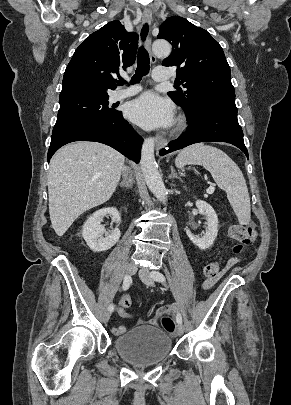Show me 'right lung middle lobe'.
Wrapping results in <instances>:
<instances>
[{
    "instance_id": "right-lung-middle-lobe-1",
    "label": "right lung middle lobe",
    "mask_w": 291,
    "mask_h": 405,
    "mask_svg": "<svg viewBox=\"0 0 291 405\" xmlns=\"http://www.w3.org/2000/svg\"><path fill=\"white\" fill-rule=\"evenodd\" d=\"M108 99L109 97H102L60 101L52 134L77 124L111 119L117 111L108 107Z\"/></svg>"
}]
</instances>
